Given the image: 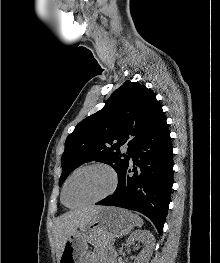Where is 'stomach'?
Instances as JSON below:
<instances>
[{"label": "stomach", "mask_w": 220, "mask_h": 263, "mask_svg": "<svg viewBox=\"0 0 220 263\" xmlns=\"http://www.w3.org/2000/svg\"><path fill=\"white\" fill-rule=\"evenodd\" d=\"M135 226L134 215L122 208L103 207L65 242L58 263H83L91 242L109 249L116 237L128 234Z\"/></svg>", "instance_id": "obj_1"}]
</instances>
